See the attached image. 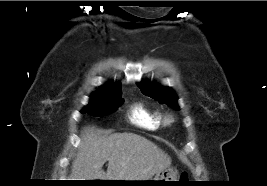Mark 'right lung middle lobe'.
Segmentation results:
<instances>
[{
  "label": "right lung middle lobe",
  "instance_id": "1",
  "mask_svg": "<svg viewBox=\"0 0 267 186\" xmlns=\"http://www.w3.org/2000/svg\"><path fill=\"white\" fill-rule=\"evenodd\" d=\"M122 102L121 93L94 94L90 103L82 110V113L102 117L115 111Z\"/></svg>",
  "mask_w": 267,
  "mask_h": 186
}]
</instances>
